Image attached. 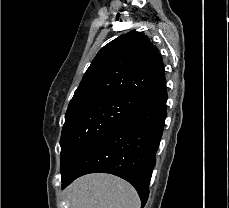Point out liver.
<instances>
[{"label":"liver","mask_w":229,"mask_h":208,"mask_svg":"<svg viewBox=\"0 0 229 208\" xmlns=\"http://www.w3.org/2000/svg\"><path fill=\"white\" fill-rule=\"evenodd\" d=\"M66 192L71 208H141L135 188L110 174L82 176Z\"/></svg>","instance_id":"obj_1"}]
</instances>
